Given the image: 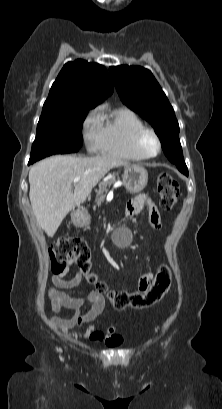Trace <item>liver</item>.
I'll use <instances>...</instances> for the list:
<instances>
[{
  "label": "liver",
  "instance_id": "obj_1",
  "mask_svg": "<svg viewBox=\"0 0 222 409\" xmlns=\"http://www.w3.org/2000/svg\"><path fill=\"white\" fill-rule=\"evenodd\" d=\"M128 163L111 156L46 158L29 171L30 202L38 225L53 237L65 216L90 195L114 167ZM80 181L74 183V178Z\"/></svg>",
  "mask_w": 222,
  "mask_h": 409
}]
</instances>
